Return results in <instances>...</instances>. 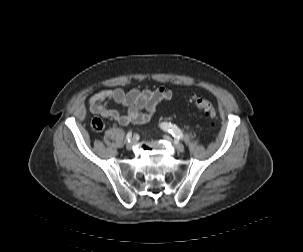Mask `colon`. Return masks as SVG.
Segmentation results:
<instances>
[{"mask_svg": "<svg viewBox=\"0 0 303 252\" xmlns=\"http://www.w3.org/2000/svg\"><path fill=\"white\" fill-rule=\"evenodd\" d=\"M189 101L212 120L217 118L216 109L209 100L192 95L189 97ZM91 127L95 132H101L104 129V123L102 120L95 118L91 122Z\"/></svg>", "mask_w": 303, "mask_h": 252, "instance_id": "obj_1", "label": "colon"}]
</instances>
